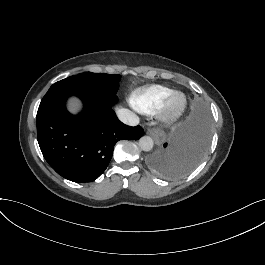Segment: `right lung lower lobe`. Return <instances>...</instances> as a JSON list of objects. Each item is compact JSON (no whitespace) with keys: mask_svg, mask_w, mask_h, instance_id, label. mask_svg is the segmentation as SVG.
Wrapping results in <instances>:
<instances>
[{"mask_svg":"<svg viewBox=\"0 0 265 265\" xmlns=\"http://www.w3.org/2000/svg\"><path fill=\"white\" fill-rule=\"evenodd\" d=\"M70 94L43 98L37 112V139L49 165L73 182H91L107 168L114 145L121 139L138 140L144 130L123 124L111 106L81 98L77 116L65 107Z\"/></svg>","mask_w":265,"mask_h":265,"instance_id":"1","label":"right lung lower lobe"}]
</instances>
